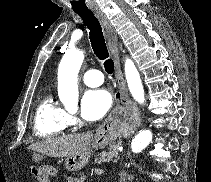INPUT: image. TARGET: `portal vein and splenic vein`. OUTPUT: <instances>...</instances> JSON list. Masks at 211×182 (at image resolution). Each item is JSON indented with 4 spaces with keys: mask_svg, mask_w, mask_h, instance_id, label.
<instances>
[{
    "mask_svg": "<svg viewBox=\"0 0 211 182\" xmlns=\"http://www.w3.org/2000/svg\"><path fill=\"white\" fill-rule=\"evenodd\" d=\"M119 150L122 151V149H119ZM95 172H96V173H102L103 170H102V169H96Z\"/></svg>",
    "mask_w": 211,
    "mask_h": 182,
    "instance_id": "1",
    "label": "portal vein and splenic vein"
}]
</instances>
